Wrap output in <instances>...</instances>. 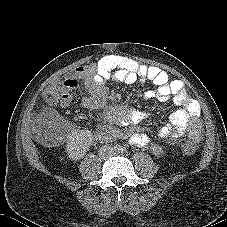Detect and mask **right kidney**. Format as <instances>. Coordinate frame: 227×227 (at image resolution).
<instances>
[{
	"label": "right kidney",
	"instance_id": "1",
	"mask_svg": "<svg viewBox=\"0 0 227 227\" xmlns=\"http://www.w3.org/2000/svg\"><path fill=\"white\" fill-rule=\"evenodd\" d=\"M93 142V134L89 130L72 132L67 139L66 152L68 157L77 161L84 157Z\"/></svg>",
	"mask_w": 227,
	"mask_h": 227
}]
</instances>
